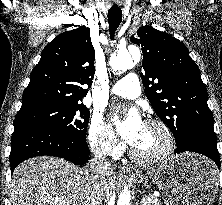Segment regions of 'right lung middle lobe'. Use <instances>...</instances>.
<instances>
[{
  "label": "right lung middle lobe",
  "mask_w": 222,
  "mask_h": 205,
  "mask_svg": "<svg viewBox=\"0 0 222 205\" xmlns=\"http://www.w3.org/2000/svg\"><path fill=\"white\" fill-rule=\"evenodd\" d=\"M90 111L79 103L48 104L18 112L14 124H40L59 132L86 139Z\"/></svg>",
  "instance_id": "obj_1"
}]
</instances>
